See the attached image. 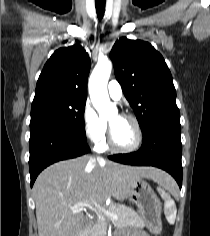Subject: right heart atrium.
<instances>
[{
    "label": "right heart atrium",
    "instance_id": "1",
    "mask_svg": "<svg viewBox=\"0 0 210 236\" xmlns=\"http://www.w3.org/2000/svg\"><path fill=\"white\" fill-rule=\"evenodd\" d=\"M82 127L85 137L98 144L105 138L107 132V124L102 120L91 103L87 101L82 112Z\"/></svg>",
    "mask_w": 210,
    "mask_h": 236
}]
</instances>
